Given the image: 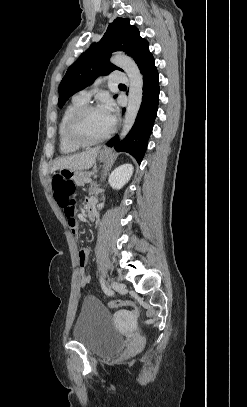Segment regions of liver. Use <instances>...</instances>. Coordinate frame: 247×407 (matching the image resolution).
<instances>
[{"instance_id":"6515ba94","label":"liver","mask_w":247,"mask_h":407,"mask_svg":"<svg viewBox=\"0 0 247 407\" xmlns=\"http://www.w3.org/2000/svg\"><path fill=\"white\" fill-rule=\"evenodd\" d=\"M99 149L100 147H96L82 153L61 157L54 162L52 172L59 169L71 171L90 169L96 162Z\"/></svg>"}]
</instances>
